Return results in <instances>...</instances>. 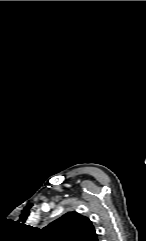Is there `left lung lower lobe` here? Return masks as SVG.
Wrapping results in <instances>:
<instances>
[{
    "mask_svg": "<svg viewBox=\"0 0 146 241\" xmlns=\"http://www.w3.org/2000/svg\"><path fill=\"white\" fill-rule=\"evenodd\" d=\"M92 241H98L97 236Z\"/></svg>",
    "mask_w": 146,
    "mask_h": 241,
    "instance_id": "1",
    "label": "left lung lower lobe"
}]
</instances>
